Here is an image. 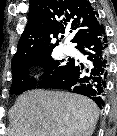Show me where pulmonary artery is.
<instances>
[{
	"mask_svg": "<svg viewBox=\"0 0 117 136\" xmlns=\"http://www.w3.org/2000/svg\"><path fill=\"white\" fill-rule=\"evenodd\" d=\"M64 52H65V53H70V52H71V49L66 48V49H64Z\"/></svg>",
	"mask_w": 117,
	"mask_h": 136,
	"instance_id": "obj_1",
	"label": "pulmonary artery"
}]
</instances>
